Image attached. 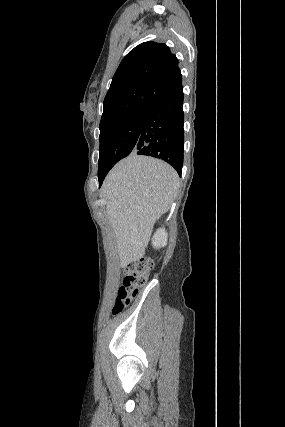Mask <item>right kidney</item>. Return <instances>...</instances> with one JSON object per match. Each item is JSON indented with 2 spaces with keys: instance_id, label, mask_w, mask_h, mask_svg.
<instances>
[{
  "instance_id": "obj_1",
  "label": "right kidney",
  "mask_w": 285,
  "mask_h": 427,
  "mask_svg": "<svg viewBox=\"0 0 285 427\" xmlns=\"http://www.w3.org/2000/svg\"><path fill=\"white\" fill-rule=\"evenodd\" d=\"M168 234L164 228H160L156 231L152 238V244L155 248L164 247L167 244Z\"/></svg>"
}]
</instances>
